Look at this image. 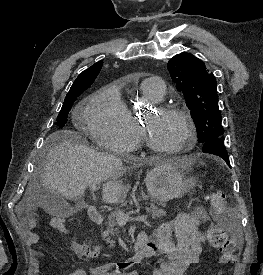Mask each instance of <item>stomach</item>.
<instances>
[{"mask_svg":"<svg viewBox=\"0 0 263 275\" xmlns=\"http://www.w3.org/2000/svg\"><path fill=\"white\" fill-rule=\"evenodd\" d=\"M186 166L174 163H157L146 174L145 182L151 197L160 202L181 197L187 187L184 170Z\"/></svg>","mask_w":263,"mask_h":275,"instance_id":"obj_1","label":"stomach"}]
</instances>
